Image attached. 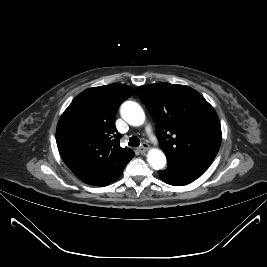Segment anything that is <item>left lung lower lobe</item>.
Here are the masks:
<instances>
[{
    "instance_id": "0a47b994",
    "label": "left lung lower lobe",
    "mask_w": 267,
    "mask_h": 267,
    "mask_svg": "<svg viewBox=\"0 0 267 267\" xmlns=\"http://www.w3.org/2000/svg\"><path fill=\"white\" fill-rule=\"evenodd\" d=\"M167 161V169L158 172L160 178L170 185H186L200 177L205 171L198 167L179 162L172 157H167Z\"/></svg>"
}]
</instances>
